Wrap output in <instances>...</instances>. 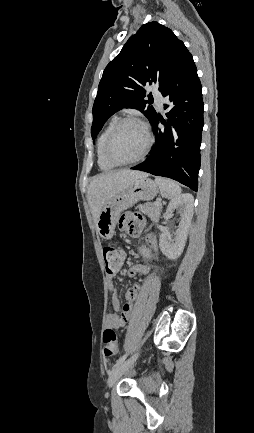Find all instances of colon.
<instances>
[{"label":"colon","mask_w":254,"mask_h":433,"mask_svg":"<svg viewBox=\"0 0 254 433\" xmlns=\"http://www.w3.org/2000/svg\"><path fill=\"white\" fill-rule=\"evenodd\" d=\"M137 218V216H134ZM108 273L117 272L122 261V250L114 245H105L102 250ZM104 355L107 359L114 357L119 349V339L114 329L106 328L103 333Z\"/></svg>","instance_id":"5ec220e1"}]
</instances>
